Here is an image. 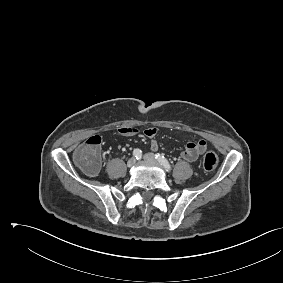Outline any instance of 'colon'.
I'll list each match as a JSON object with an SVG mask.
<instances>
[{
    "label": "colon",
    "instance_id": "1",
    "mask_svg": "<svg viewBox=\"0 0 283 283\" xmlns=\"http://www.w3.org/2000/svg\"><path fill=\"white\" fill-rule=\"evenodd\" d=\"M100 144V137L92 136L74 153L76 163L88 174H95L99 169ZM202 164L205 170H214L218 165V156L212 151L206 152Z\"/></svg>",
    "mask_w": 283,
    "mask_h": 283
}]
</instances>
